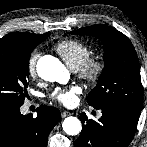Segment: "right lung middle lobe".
I'll list each match as a JSON object with an SVG mask.
<instances>
[{"label":"right lung middle lobe","instance_id":"1","mask_svg":"<svg viewBox=\"0 0 147 147\" xmlns=\"http://www.w3.org/2000/svg\"><path fill=\"white\" fill-rule=\"evenodd\" d=\"M49 35L30 42L0 41V108L20 107L24 103L30 54Z\"/></svg>","mask_w":147,"mask_h":147}]
</instances>
